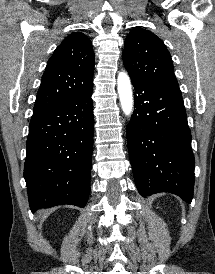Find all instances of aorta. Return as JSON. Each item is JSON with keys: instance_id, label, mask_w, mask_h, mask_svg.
Masks as SVG:
<instances>
[{"instance_id": "obj_1", "label": "aorta", "mask_w": 215, "mask_h": 274, "mask_svg": "<svg viewBox=\"0 0 215 274\" xmlns=\"http://www.w3.org/2000/svg\"><path fill=\"white\" fill-rule=\"evenodd\" d=\"M117 90L124 114L127 116L131 115L133 111V92L130 78L127 73H119L117 78Z\"/></svg>"}]
</instances>
